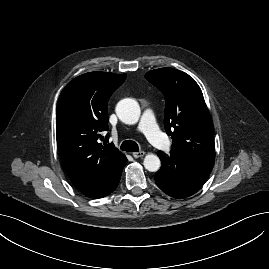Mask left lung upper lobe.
Here are the masks:
<instances>
[{
    "label": "left lung upper lobe",
    "mask_w": 269,
    "mask_h": 269,
    "mask_svg": "<svg viewBox=\"0 0 269 269\" xmlns=\"http://www.w3.org/2000/svg\"><path fill=\"white\" fill-rule=\"evenodd\" d=\"M145 78L165 96L164 125L172 150L214 160V126L195 80L173 68L149 71Z\"/></svg>",
    "instance_id": "left-lung-upper-lobe-1"
}]
</instances>
